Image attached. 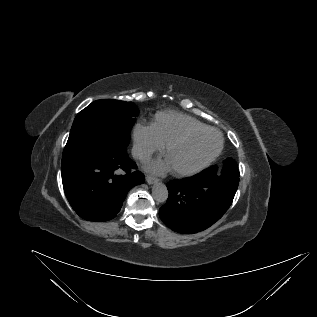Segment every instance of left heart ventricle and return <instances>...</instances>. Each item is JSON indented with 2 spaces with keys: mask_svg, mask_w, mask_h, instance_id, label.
Returning a JSON list of instances; mask_svg holds the SVG:
<instances>
[{
  "mask_svg": "<svg viewBox=\"0 0 317 317\" xmlns=\"http://www.w3.org/2000/svg\"><path fill=\"white\" fill-rule=\"evenodd\" d=\"M219 141L215 132L200 133L172 148L165 159L172 170L188 169L209 157L217 149Z\"/></svg>",
  "mask_w": 317,
  "mask_h": 317,
  "instance_id": "left-heart-ventricle-1",
  "label": "left heart ventricle"
}]
</instances>
